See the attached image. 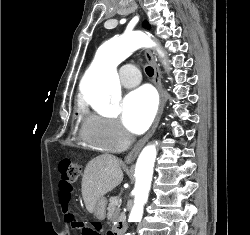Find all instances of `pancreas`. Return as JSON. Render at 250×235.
Wrapping results in <instances>:
<instances>
[{
    "label": "pancreas",
    "instance_id": "obj_1",
    "mask_svg": "<svg viewBox=\"0 0 250 235\" xmlns=\"http://www.w3.org/2000/svg\"><path fill=\"white\" fill-rule=\"evenodd\" d=\"M107 217L110 221H122L125 219V213H120L118 197H111L107 208Z\"/></svg>",
    "mask_w": 250,
    "mask_h": 235
}]
</instances>
